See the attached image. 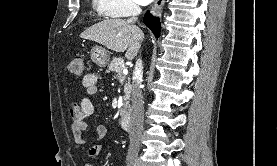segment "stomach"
<instances>
[{
  "label": "stomach",
  "instance_id": "stomach-1",
  "mask_svg": "<svg viewBox=\"0 0 277 166\" xmlns=\"http://www.w3.org/2000/svg\"><path fill=\"white\" fill-rule=\"evenodd\" d=\"M91 60L99 67H105L110 61V53L102 46H94L90 52Z\"/></svg>",
  "mask_w": 277,
  "mask_h": 166
}]
</instances>
